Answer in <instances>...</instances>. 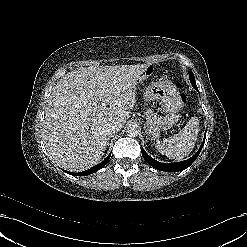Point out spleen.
<instances>
[{"instance_id":"obj_1","label":"spleen","mask_w":247,"mask_h":247,"mask_svg":"<svg viewBox=\"0 0 247 247\" xmlns=\"http://www.w3.org/2000/svg\"><path fill=\"white\" fill-rule=\"evenodd\" d=\"M198 132L199 119L192 117L179 133L158 141L156 148L169 159L180 161L192 152L195 147Z\"/></svg>"}]
</instances>
